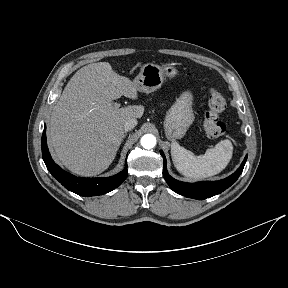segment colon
<instances>
[{"instance_id":"colon-1","label":"colon","mask_w":288,"mask_h":288,"mask_svg":"<svg viewBox=\"0 0 288 288\" xmlns=\"http://www.w3.org/2000/svg\"><path fill=\"white\" fill-rule=\"evenodd\" d=\"M225 108L226 100L222 94L217 90H210L203 122L204 131L208 138L217 139L225 133L226 126L221 119V113Z\"/></svg>"}]
</instances>
